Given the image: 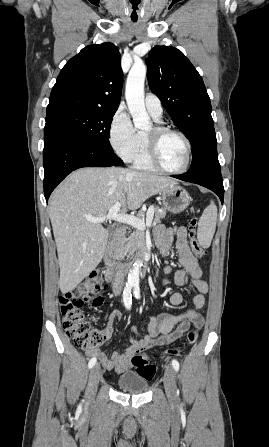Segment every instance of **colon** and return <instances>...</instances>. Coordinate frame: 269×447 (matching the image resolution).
I'll return each mask as SVG.
<instances>
[{"label": "colon", "mask_w": 269, "mask_h": 447, "mask_svg": "<svg viewBox=\"0 0 269 447\" xmlns=\"http://www.w3.org/2000/svg\"><path fill=\"white\" fill-rule=\"evenodd\" d=\"M190 248L197 257H203L206 252L204 247L195 239L197 232V219L194 217L189 223ZM103 288V278L98 272H93L83 279L75 288L64 292L59 297V305L63 317L62 326L73 343L79 348H97L101 345L102 334L93 329L87 318L86 312L82 308L86 305L95 310L101 305L100 294ZM198 331L190 328L186 333V340L189 344L195 343ZM185 352L184 345L164 349L158 353L160 359L169 356L176 357ZM131 364L135 373L145 380H152L157 373V367L149 362L147 352H138L131 358Z\"/></svg>", "instance_id": "1"}]
</instances>
